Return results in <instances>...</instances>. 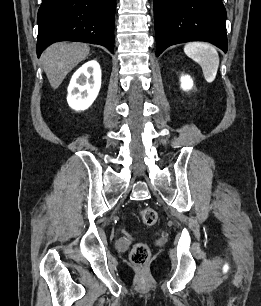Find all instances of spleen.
<instances>
[{
    "mask_svg": "<svg viewBox=\"0 0 261 306\" xmlns=\"http://www.w3.org/2000/svg\"><path fill=\"white\" fill-rule=\"evenodd\" d=\"M184 52L201 66L205 80L212 83L219 67L217 50L210 44L193 42L185 45Z\"/></svg>",
    "mask_w": 261,
    "mask_h": 306,
    "instance_id": "spleen-1",
    "label": "spleen"
}]
</instances>
